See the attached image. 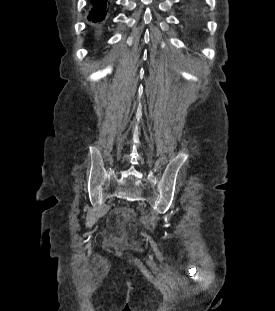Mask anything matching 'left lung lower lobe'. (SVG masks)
I'll return each instance as SVG.
<instances>
[{
	"instance_id": "left-lung-lower-lobe-1",
	"label": "left lung lower lobe",
	"mask_w": 275,
	"mask_h": 311,
	"mask_svg": "<svg viewBox=\"0 0 275 311\" xmlns=\"http://www.w3.org/2000/svg\"><path fill=\"white\" fill-rule=\"evenodd\" d=\"M192 2H195L196 0H191ZM192 24H193V22H192Z\"/></svg>"
}]
</instances>
